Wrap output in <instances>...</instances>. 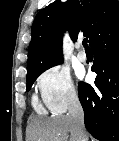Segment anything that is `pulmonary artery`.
<instances>
[{
	"instance_id": "obj_1",
	"label": "pulmonary artery",
	"mask_w": 119,
	"mask_h": 141,
	"mask_svg": "<svg viewBox=\"0 0 119 141\" xmlns=\"http://www.w3.org/2000/svg\"><path fill=\"white\" fill-rule=\"evenodd\" d=\"M77 49H78V53H77L78 60L81 61V62H85L87 60V55L82 50V44L81 43L77 44Z\"/></svg>"
}]
</instances>
